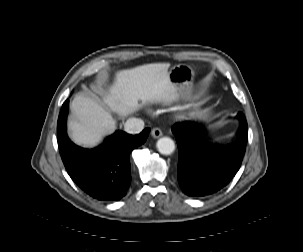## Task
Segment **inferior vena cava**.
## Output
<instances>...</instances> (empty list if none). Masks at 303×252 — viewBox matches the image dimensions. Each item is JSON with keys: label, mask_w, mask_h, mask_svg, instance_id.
<instances>
[{"label": "inferior vena cava", "mask_w": 303, "mask_h": 252, "mask_svg": "<svg viewBox=\"0 0 303 252\" xmlns=\"http://www.w3.org/2000/svg\"><path fill=\"white\" fill-rule=\"evenodd\" d=\"M144 129V121L139 118H130L124 124V130L129 134H138Z\"/></svg>", "instance_id": "602c4592"}]
</instances>
